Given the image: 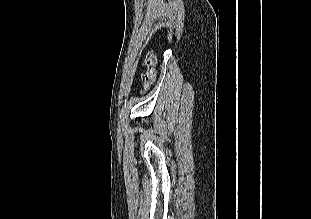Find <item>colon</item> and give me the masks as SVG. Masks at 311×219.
Returning <instances> with one entry per match:
<instances>
[{
	"mask_svg": "<svg viewBox=\"0 0 311 219\" xmlns=\"http://www.w3.org/2000/svg\"><path fill=\"white\" fill-rule=\"evenodd\" d=\"M155 63H156V58L153 54H150L146 61V70L144 72V83L145 85H149L153 82L154 78H155Z\"/></svg>",
	"mask_w": 311,
	"mask_h": 219,
	"instance_id": "colon-1",
	"label": "colon"
}]
</instances>
